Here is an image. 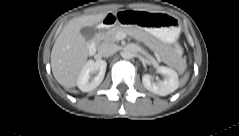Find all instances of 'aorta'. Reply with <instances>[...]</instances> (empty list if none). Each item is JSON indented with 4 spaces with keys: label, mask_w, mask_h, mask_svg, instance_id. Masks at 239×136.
Returning <instances> with one entry per match:
<instances>
[{
    "label": "aorta",
    "mask_w": 239,
    "mask_h": 136,
    "mask_svg": "<svg viewBox=\"0 0 239 136\" xmlns=\"http://www.w3.org/2000/svg\"><path fill=\"white\" fill-rule=\"evenodd\" d=\"M122 58L124 59H130L132 57V52L128 49H125L122 53H121Z\"/></svg>",
    "instance_id": "1"
}]
</instances>
